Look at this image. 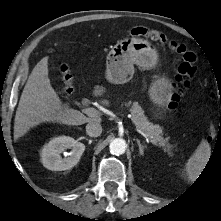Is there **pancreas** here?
<instances>
[{
  "mask_svg": "<svg viewBox=\"0 0 221 221\" xmlns=\"http://www.w3.org/2000/svg\"><path fill=\"white\" fill-rule=\"evenodd\" d=\"M126 106H130L131 102L125 104ZM130 112L132 115V121L135 123L136 127L142 130L144 133H147L155 139L157 145L162 147L165 152H167L170 156H173V148L174 146L169 143V137H163V129L159 125H154L149 122L147 117L144 114L142 107L138 104V102H134L131 105Z\"/></svg>",
  "mask_w": 221,
  "mask_h": 221,
  "instance_id": "cf45deb5",
  "label": "pancreas"
}]
</instances>
